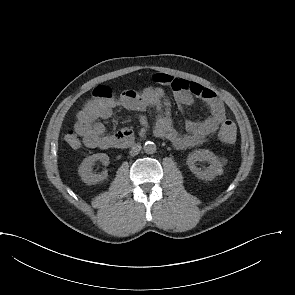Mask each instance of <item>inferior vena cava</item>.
Returning a JSON list of instances; mask_svg holds the SVG:
<instances>
[{"instance_id":"1","label":"inferior vena cava","mask_w":295,"mask_h":295,"mask_svg":"<svg viewBox=\"0 0 295 295\" xmlns=\"http://www.w3.org/2000/svg\"><path fill=\"white\" fill-rule=\"evenodd\" d=\"M140 150H141V145L135 144L131 148L130 155L135 156L140 152Z\"/></svg>"}]
</instances>
